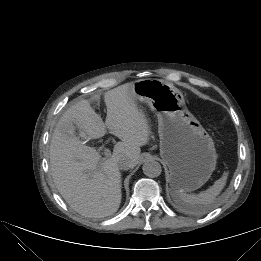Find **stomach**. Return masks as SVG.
I'll use <instances>...</instances> for the list:
<instances>
[{
  "label": "stomach",
  "mask_w": 261,
  "mask_h": 261,
  "mask_svg": "<svg viewBox=\"0 0 261 261\" xmlns=\"http://www.w3.org/2000/svg\"><path fill=\"white\" fill-rule=\"evenodd\" d=\"M136 102L148 104L158 118L160 156L169 168L173 193L202 187L215 170L214 142L185 106L179 89L161 79L133 83Z\"/></svg>",
  "instance_id": "1"
}]
</instances>
